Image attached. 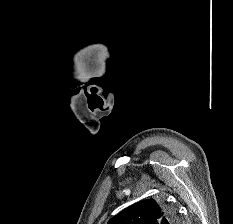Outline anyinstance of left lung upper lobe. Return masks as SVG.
I'll list each match as a JSON object with an SVG mask.
<instances>
[{"mask_svg": "<svg viewBox=\"0 0 233 224\" xmlns=\"http://www.w3.org/2000/svg\"><path fill=\"white\" fill-rule=\"evenodd\" d=\"M175 210L154 199L139 201L112 217L107 224H177Z\"/></svg>", "mask_w": 233, "mask_h": 224, "instance_id": "obj_1", "label": "left lung upper lobe"}]
</instances>
